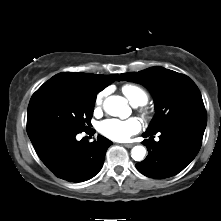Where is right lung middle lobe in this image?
<instances>
[{"instance_id": "dd1d6c3e", "label": "right lung middle lobe", "mask_w": 221, "mask_h": 221, "mask_svg": "<svg viewBox=\"0 0 221 221\" xmlns=\"http://www.w3.org/2000/svg\"><path fill=\"white\" fill-rule=\"evenodd\" d=\"M97 93L66 81L48 80L32 96L27 111V132L57 128L87 132Z\"/></svg>"}]
</instances>
